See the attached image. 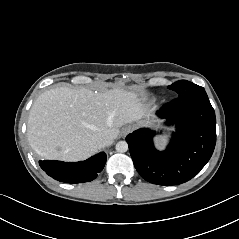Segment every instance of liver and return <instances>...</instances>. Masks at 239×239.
I'll return each mask as SVG.
<instances>
[{"label":"liver","mask_w":239,"mask_h":239,"mask_svg":"<svg viewBox=\"0 0 239 239\" xmlns=\"http://www.w3.org/2000/svg\"><path fill=\"white\" fill-rule=\"evenodd\" d=\"M147 107L134 92L115 88L104 92L59 87L42 93L32 105L27 138L45 159L80 161L94 155L119 127L145 116Z\"/></svg>","instance_id":"liver-1"}]
</instances>
